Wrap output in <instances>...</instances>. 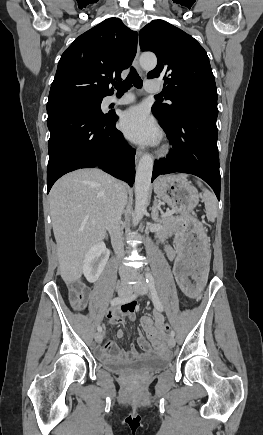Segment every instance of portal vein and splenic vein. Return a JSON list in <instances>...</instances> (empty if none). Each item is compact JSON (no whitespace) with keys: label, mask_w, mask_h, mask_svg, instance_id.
Wrapping results in <instances>:
<instances>
[{"label":"portal vein and splenic vein","mask_w":263,"mask_h":435,"mask_svg":"<svg viewBox=\"0 0 263 435\" xmlns=\"http://www.w3.org/2000/svg\"><path fill=\"white\" fill-rule=\"evenodd\" d=\"M173 213V210L172 211H169L168 213H166V214H163V216H166V215H168V214H172Z\"/></svg>","instance_id":"portal-vein-and-splenic-vein-1"}]
</instances>
